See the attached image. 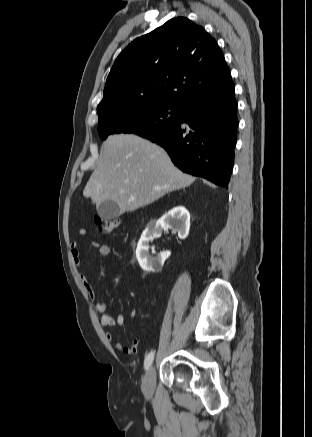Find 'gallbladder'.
Returning <instances> with one entry per match:
<instances>
[{
	"mask_svg": "<svg viewBox=\"0 0 312 437\" xmlns=\"http://www.w3.org/2000/svg\"><path fill=\"white\" fill-rule=\"evenodd\" d=\"M98 215L104 220H113L121 215L119 205L112 201L106 200L97 206Z\"/></svg>",
	"mask_w": 312,
	"mask_h": 437,
	"instance_id": "gallbladder-1",
	"label": "gallbladder"
}]
</instances>
